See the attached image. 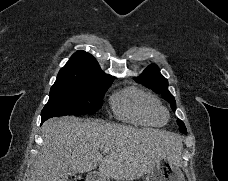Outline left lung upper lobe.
Listing matches in <instances>:
<instances>
[{
    "mask_svg": "<svg viewBox=\"0 0 228 181\" xmlns=\"http://www.w3.org/2000/svg\"><path fill=\"white\" fill-rule=\"evenodd\" d=\"M134 79L136 82L152 89L155 93L162 94V97L170 103L172 110L175 111L176 102L173 95L168 91V81L160 74L159 68L156 65H150L139 77ZM177 122L180 132L186 134L187 130L184 123L180 120Z\"/></svg>",
    "mask_w": 228,
    "mask_h": 181,
    "instance_id": "left-lung-upper-lobe-1",
    "label": "left lung upper lobe"
}]
</instances>
